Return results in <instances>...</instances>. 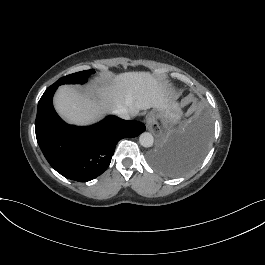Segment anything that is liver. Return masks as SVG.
Listing matches in <instances>:
<instances>
[{
    "instance_id": "1",
    "label": "liver",
    "mask_w": 265,
    "mask_h": 265,
    "mask_svg": "<svg viewBox=\"0 0 265 265\" xmlns=\"http://www.w3.org/2000/svg\"><path fill=\"white\" fill-rule=\"evenodd\" d=\"M97 95L102 99L101 102L83 97L70 86H63L55 96V108L67 121L85 124L94 121L103 109L112 111L120 106L126 108L131 116L154 108L175 115L178 119L184 107L168 104L163 87L150 74L120 75L113 88H99Z\"/></svg>"
}]
</instances>
